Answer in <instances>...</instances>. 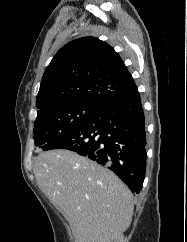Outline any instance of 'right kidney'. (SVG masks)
<instances>
[{"label": "right kidney", "mask_w": 187, "mask_h": 242, "mask_svg": "<svg viewBox=\"0 0 187 242\" xmlns=\"http://www.w3.org/2000/svg\"><path fill=\"white\" fill-rule=\"evenodd\" d=\"M111 242H124V241H123V235L121 234V235L118 236L117 238L113 239Z\"/></svg>", "instance_id": "ca27d5eb"}]
</instances>
